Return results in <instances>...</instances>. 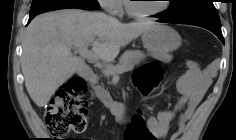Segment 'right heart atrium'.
I'll return each mask as SVG.
<instances>
[{"label": "right heart atrium", "mask_w": 236, "mask_h": 140, "mask_svg": "<svg viewBox=\"0 0 236 140\" xmlns=\"http://www.w3.org/2000/svg\"><path fill=\"white\" fill-rule=\"evenodd\" d=\"M101 7L110 14H121L123 5L121 0H99Z\"/></svg>", "instance_id": "right-heart-atrium-1"}]
</instances>
